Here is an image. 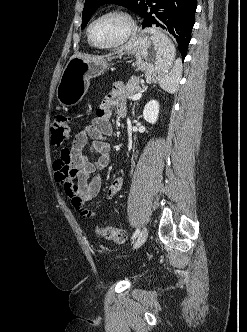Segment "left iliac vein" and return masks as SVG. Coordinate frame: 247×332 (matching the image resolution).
Returning <instances> with one entry per match:
<instances>
[{
	"label": "left iliac vein",
	"instance_id": "obj_1",
	"mask_svg": "<svg viewBox=\"0 0 247 332\" xmlns=\"http://www.w3.org/2000/svg\"><path fill=\"white\" fill-rule=\"evenodd\" d=\"M147 236H148V230L147 228H143L139 234V236L137 237L134 245H133V248L134 249H137L139 248L140 246H142L144 244V242L146 241L147 239Z\"/></svg>",
	"mask_w": 247,
	"mask_h": 332
}]
</instances>
